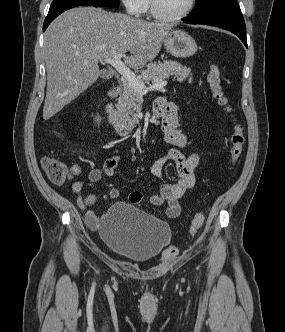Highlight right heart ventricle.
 Returning a JSON list of instances; mask_svg holds the SVG:
<instances>
[{
  "label": "right heart ventricle",
  "mask_w": 285,
  "mask_h": 332,
  "mask_svg": "<svg viewBox=\"0 0 285 332\" xmlns=\"http://www.w3.org/2000/svg\"><path fill=\"white\" fill-rule=\"evenodd\" d=\"M149 5H150V1L147 0L144 12H146L149 9Z\"/></svg>",
  "instance_id": "obj_1"
}]
</instances>
